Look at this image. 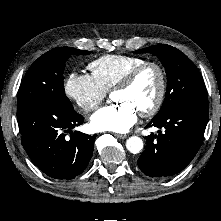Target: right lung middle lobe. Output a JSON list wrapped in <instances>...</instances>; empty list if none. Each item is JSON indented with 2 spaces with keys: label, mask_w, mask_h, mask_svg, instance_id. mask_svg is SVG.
Wrapping results in <instances>:
<instances>
[{
  "label": "right lung middle lobe",
  "mask_w": 221,
  "mask_h": 221,
  "mask_svg": "<svg viewBox=\"0 0 221 221\" xmlns=\"http://www.w3.org/2000/svg\"><path fill=\"white\" fill-rule=\"evenodd\" d=\"M90 54L71 47L54 48L38 58L29 68L19 88L17 107L32 101H44L64 110L74 111L63 90L65 62L72 55Z\"/></svg>",
  "instance_id": "dd1d6c3e"
}]
</instances>
